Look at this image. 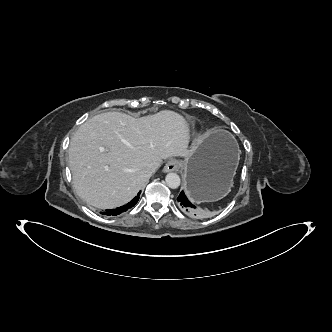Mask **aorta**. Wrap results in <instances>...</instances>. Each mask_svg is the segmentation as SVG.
<instances>
[{"label": "aorta", "mask_w": 332, "mask_h": 332, "mask_svg": "<svg viewBox=\"0 0 332 332\" xmlns=\"http://www.w3.org/2000/svg\"><path fill=\"white\" fill-rule=\"evenodd\" d=\"M165 181L168 187L175 189L180 186V177L176 173H169L165 177Z\"/></svg>", "instance_id": "1"}]
</instances>
